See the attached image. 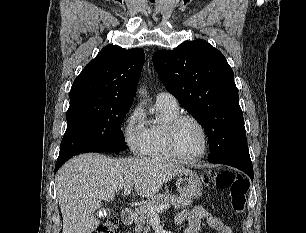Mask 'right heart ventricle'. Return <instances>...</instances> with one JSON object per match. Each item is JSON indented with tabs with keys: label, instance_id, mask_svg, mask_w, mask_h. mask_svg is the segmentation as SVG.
<instances>
[{
	"label": "right heart ventricle",
	"instance_id": "1",
	"mask_svg": "<svg viewBox=\"0 0 306 233\" xmlns=\"http://www.w3.org/2000/svg\"><path fill=\"white\" fill-rule=\"evenodd\" d=\"M156 110V118L146 125L145 155L152 159H172L174 155L167 144L166 129L169 122L180 115L179 108L156 103Z\"/></svg>",
	"mask_w": 306,
	"mask_h": 233
}]
</instances>
